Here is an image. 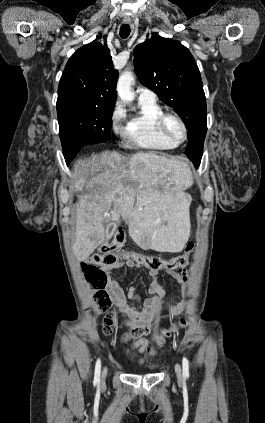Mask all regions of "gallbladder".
Instances as JSON below:
<instances>
[{
	"instance_id": "obj_1",
	"label": "gallbladder",
	"mask_w": 265,
	"mask_h": 423,
	"mask_svg": "<svg viewBox=\"0 0 265 423\" xmlns=\"http://www.w3.org/2000/svg\"><path fill=\"white\" fill-rule=\"evenodd\" d=\"M119 221H114L107 226V239H110L113 235V231L117 228Z\"/></svg>"
}]
</instances>
